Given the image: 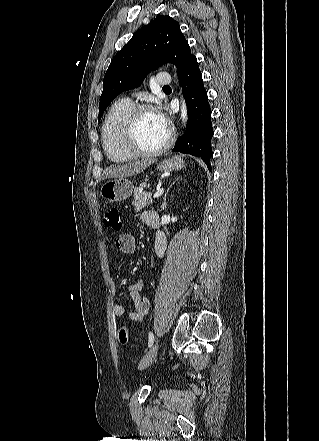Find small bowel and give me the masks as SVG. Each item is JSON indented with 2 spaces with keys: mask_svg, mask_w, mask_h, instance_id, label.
I'll list each match as a JSON object with an SVG mask.
<instances>
[{
  "mask_svg": "<svg viewBox=\"0 0 319 441\" xmlns=\"http://www.w3.org/2000/svg\"><path fill=\"white\" fill-rule=\"evenodd\" d=\"M141 221L152 229H157L159 226V216L153 211H146L141 215ZM166 237L165 234L157 230L155 240V253L157 256L162 257L166 251ZM115 245L117 249L124 254H133L136 251V241L130 234H122L116 239ZM123 289L130 292L134 303V309L128 310L127 307L121 303H117L113 307L114 314L117 317H128L135 322H141L149 309V300L140 295L142 289V282L135 281L128 285H120L116 281L111 283V292L115 294L117 290Z\"/></svg>",
  "mask_w": 319,
  "mask_h": 441,
  "instance_id": "obj_1",
  "label": "small bowel"
}]
</instances>
